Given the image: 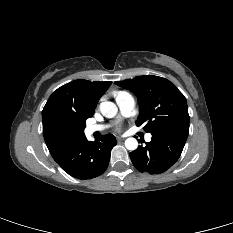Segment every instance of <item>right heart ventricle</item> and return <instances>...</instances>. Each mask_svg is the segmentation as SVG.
I'll return each instance as SVG.
<instances>
[{"label": "right heart ventricle", "instance_id": "right-heart-ventricle-1", "mask_svg": "<svg viewBox=\"0 0 233 233\" xmlns=\"http://www.w3.org/2000/svg\"><path fill=\"white\" fill-rule=\"evenodd\" d=\"M124 95H128V93H127V92H124V91H119V92H117V93L115 94L116 99L119 98V97H121V96H124Z\"/></svg>", "mask_w": 233, "mask_h": 233}]
</instances>
